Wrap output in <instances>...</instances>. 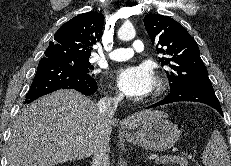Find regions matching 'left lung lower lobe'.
<instances>
[{
  "instance_id": "0a47b994",
  "label": "left lung lower lobe",
  "mask_w": 231,
  "mask_h": 166,
  "mask_svg": "<svg viewBox=\"0 0 231 166\" xmlns=\"http://www.w3.org/2000/svg\"><path fill=\"white\" fill-rule=\"evenodd\" d=\"M193 101L207 104L216 109L221 115L222 109L212 85L187 84L172 90L163 100L147 108H152L172 102Z\"/></svg>"
}]
</instances>
